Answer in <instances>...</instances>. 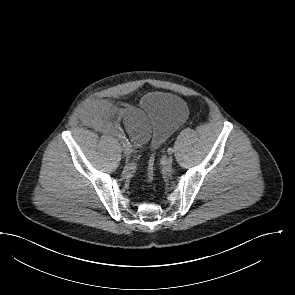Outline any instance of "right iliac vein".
I'll list each match as a JSON object with an SVG mask.
<instances>
[{
    "label": "right iliac vein",
    "mask_w": 295,
    "mask_h": 295,
    "mask_svg": "<svg viewBox=\"0 0 295 295\" xmlns=\"http://www.w3.org/2000/svg\"><path fill=\"white\" fill-rule=\"evenodd\" d=\"M124 155L127 158V160H129L131 157V149L124 147Z\"/></svg>",
    "instance_id": "63e3f726"
}]
</instances>
